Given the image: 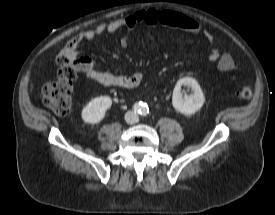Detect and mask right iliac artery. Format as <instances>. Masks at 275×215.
<instances>
[{"label": "right iliac artery", "instance_id": "82829eb1", "mask_svg": "<svg viewBox=\"0 0 275 215\" xmlns=\"http://www.w3.org/2000/svg\"><path fill=\"white\" fill-rule=\"evenodd\" d=\"M141 109H142L141 104H135V105L133 106V110H134L135 112H137V113H140V112H141Z\"/></svg>", "mask_w": 275, "mask_h": 215}]
</instances>
